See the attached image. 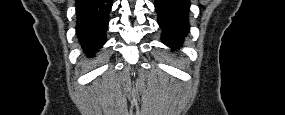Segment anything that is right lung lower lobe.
Here are the masks:
<instances>
[{"mask_svg":"<svg viewBox=\"0 0 285 115\" xmlns=\"http://www.w3.org/2000/svg\"><path fill=\"white\" fill-rule=\"evenodd\" d=\"M75 6L76 35L83 51L92 57L106 42L112 1L77 0Z\"/></svg>","mask_w":285,"mask_h":115,"instance_id":"obj_1","label":"right lung lower lobe"}]
</instances>
